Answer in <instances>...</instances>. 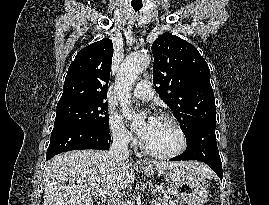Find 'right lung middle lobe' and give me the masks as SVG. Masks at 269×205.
<instances>
[{"label":"right lung middle lobe","instance_id":"dd1d6c3e","mask_svg":"<svg viewBox=\"0 0 269 205\" xmlns=\"http://www.w3.org/2000/svg\"><path fill=\"white\" fill-rule=\"evenodd\" d=\"M54 127L83 125L109 131L108 104L103 101L57 106Z\"/></svg>","mask_w":269,"mask_h":205}]
</instances>
